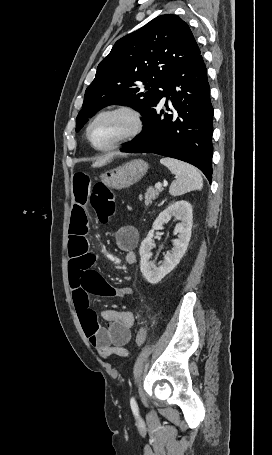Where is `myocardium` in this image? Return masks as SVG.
<instances>
[{
  "mask_svg": "<svg viewBox=\"0 0 272 455\" xmlns=\"http://www.w3.org/2000/svg\"><path fill=\"white\" fill-rule=\"evenodd\" d=\"M110 114H123L127 116L130 120V128L123 136H121L118 140H116L109 146L98 147L93 143L91 139V129L101 117ZM143 127H144L143 117L138 109L128 104H118L106 107L98 111L93 116V118L90 120L86 128V138L91 147L94 148L95 150L100 152H109L137 138L141 134Z\"/></svg>",
  "mask_w": 272,
  "mask_h": 455,
  "instance_id": "obj_1",
  "label": "myocardium"
}]
</instances>
